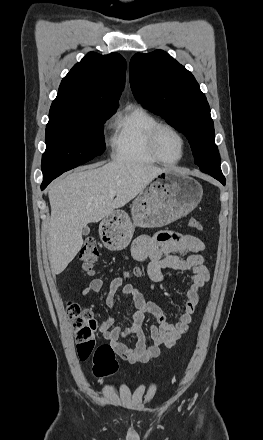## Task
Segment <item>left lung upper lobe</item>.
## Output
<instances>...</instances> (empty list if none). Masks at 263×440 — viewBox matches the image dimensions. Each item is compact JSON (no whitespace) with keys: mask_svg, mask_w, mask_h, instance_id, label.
<instances>
[{"mask_svg":"<svg viewBox=\"0 0 263 440\" xmlns=\"http://www.w3.org/2000/svg\"><path fill=\"white\" fill-rule=\"evenodd\" d=\"M130 85L145 108L189 139L202 172L222 173L210 107L191 72L162 50L137 53L130 61Z\"/></svg>","mask_w":263,"mask_h":440,"instance_id":"left-lung-upper-lobe-1","label":"left lung upper lobe"}]
</instances>
